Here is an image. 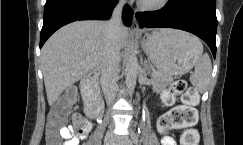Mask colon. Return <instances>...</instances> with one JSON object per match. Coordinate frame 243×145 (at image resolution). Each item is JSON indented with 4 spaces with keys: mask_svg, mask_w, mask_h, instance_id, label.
Returning <instances> with one entry per match:
<instances>
[{
    "mask_svg": "<svg viewBox=\"0 0 243 145\" xmlns=\"http://www.w3.org/2000/svg\"><path fill=\"white\" fill-rule=\"evenodd\" d=\"M176 95L182 96L183 105L173 107L163 114L158 120V129L160 132H167L172 129H184L181 136V145H198L199 134L193 128L197 121L194 105L198 101V93L193 87L188 86L185 80L177 79L163 95V102L166 105H171ZM74 99V92L68 91L57 101L50 112L46 125L47 145H62L60 133L65 127L66 119ZM74 124L80 133L90 130V124L81 117H78Z\"/></svg>",
    "mask_w": 243,
    "mask_h": 145,
    "instance_id": "obj_1",
    "label": "colon"
}]
</instances>
